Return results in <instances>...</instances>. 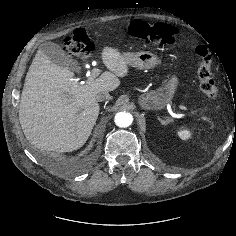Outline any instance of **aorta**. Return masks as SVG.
I'll list each match as a JSON object with an SVG mask.
<instances>
[{
	"label": "aorta",
	"instance_id": "1",
	"mask_svg": "<svg viewBox=\"0 0 236 236\" xmlns=\"http://www.w3.org/2000/svg\"><path fill=\"white\" fill-rule=\"evenodd\" d=\"M115 124L118 127L126 128L129 127L133 122V116L129 112H118L114 118Z\"/></svg>",
	"mask_w": 236,
	"mask_h": 236
}]
</instances>
